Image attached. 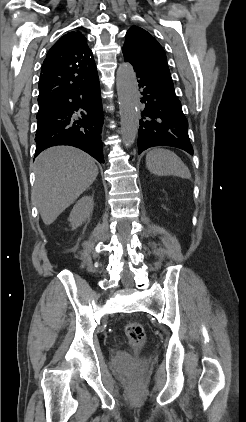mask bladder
<instances>
[{
	"instance_id": "obj_1",
	"label": "bladder",
	"mask_w": 246,
	"mask_h": 422,
	"mask_svg": "<svg viewBox=\"0 0 246 422\" xmlns=\"http://www.w3.org/2000/svg\"><path fill=\"white\" fill-rule=\"evenodd\" d=\"M115 364L120 368L129 366L133 361L130 355L125 352H120L114 357Z\"/></svg>"
}]
</instances>
